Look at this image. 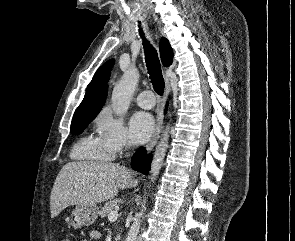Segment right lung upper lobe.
<instances>
[{
    "label": "right lung upper lobe",
    "instance_id": "right-lung-upper-lobe-1",
    "mask_svg": "<svg viewBox=\"0 0 295 241\" xmlns=\"http://www.w3.org/2000/svg\"><path fill=\"white\" fill-rule=\"evenodd\" d=\"M160 57L164 66H170L173 61V51L169 41L162 37L160 40ZM114 60L105 62L95 73L89 83L85 97L76 109L77 112L96 111L102 108L107 95V82L110 77ZM74 113V114H75Z\"/></svg>",
    "mask_w": 295,
    "mask_h": 241
}]
</instances>
